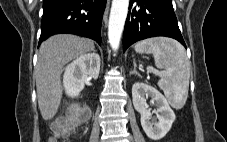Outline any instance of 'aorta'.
Wrapping results in <instances>:
<instances>
[{
	"instance_id": "aorta-1",
	"label": "aorta",
	"mask_w": 227,
	"mask_h": 142,
	"mask_svg": "<svg viewBox=\"0 0 227 142\" xmlns=\"http://www.w3.org/2000/svg\"><path fill=\"white\" fill-rule=\"evenodd\" d=\"M129 0H112L108 24V39L111 48H119L121 35L128 13Z\"/></svg>"
}]
</instances>
